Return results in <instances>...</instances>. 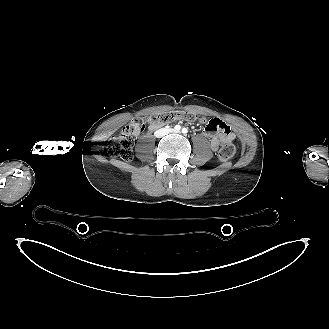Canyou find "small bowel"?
Instances as JSON below:
<instances>
[{
    "instance_id": "obj_1",
    "label": "small bowel",
    "mask_w": 329,
    "mask_h": 329,
    "mask_svg": "<svg viewBox=\"0 0 329 329\" xmlns=\"http://www.w3.org/2000/svg\"><path fill=\"white\" fill-rule=\"evenodd\" d=\"M156 128L157 127L155 126H151L149 129L154 130ZM203 134L210 140L213 150H216L219 147L220 142L232 140L234 138V133L231 131L230 127L223 121L215 118L209 120Z\"/></svg>"
}]
</instances>
